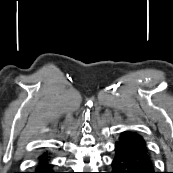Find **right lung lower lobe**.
Returning <instances> with one entry per match:
<instances>
[{
    "instance_id": "1",
    "label": "right lung lower lobe",
    "mask_w": 173,
    "mask_h": 173,
    "mask_svg": "<svg viewBox=\"0 0 173 173\" xmlns=\"http://www.w3.org/2000/svg\"><path fill=\"white\" fill-rule=\"evenodd\" d=\"M38 159V164L33 173H56L53 171L52 166L49 164V157L47 154H42Z\"/></svg>"
}]
</instances>
